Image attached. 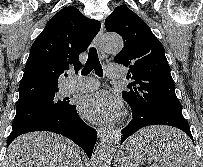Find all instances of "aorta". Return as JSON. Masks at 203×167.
<instances>
[{
	"label": "aorta",
	"instance_id": "762f6f07",
	"mask_svg": "<svg viewBox=\"0 0 203 167\" xmlns=\"http://www.w3.org/2000/svg\"><path fill=\"white\" fill-rule=\"evenodd\" d=\"M101 48L106 53H119L123 48V40L117 34H106L103 36ZM121 136L120 130H113L102 138L94 152V167H110Z\"/></svg>",
	"mask_w": 203,
	"mask_h": 167
}]
</instances>
